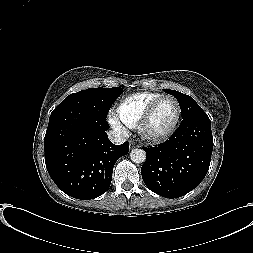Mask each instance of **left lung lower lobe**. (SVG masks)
Wrapping results in <instances>:
<instances>
[{"label": "left lung lower lobe", "mask_w": 253, "mask_h": 253, "mask_svg": "<svg viewBox=\"0 0 253 253\" xmlns=\"http://www.w3.org/2000/svg\"><path fill=\"white\" fill-rule=\"evenodd\" d=\"M141 174L146 186L166 198L181 197L204 179L209 169L213 137L207 114L182 120L164 144L144 147Z\"/></svg>", "instance_id": "obj_1"}]
</instances>
